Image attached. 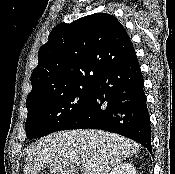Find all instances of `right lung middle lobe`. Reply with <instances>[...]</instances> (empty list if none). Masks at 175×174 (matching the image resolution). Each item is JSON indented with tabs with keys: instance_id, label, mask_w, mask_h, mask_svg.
I'll return each mask as SVG.
<instances>
[{
	"instance_id": "right-lung-middle-lobe-1",
	"label": "right lung middle lobe",
	"mask_w": 175,
	"mask_h": 174,
	"mask_svg": "<svg viewBox=\"0 0 175 174\" xmlns=\"http://www.w3.org/2000/svg\"><path fill=\"white\" fill-rule=\"evenodd\" d=\"M93 85L60 92L27 106L25 131L28 139L63 130L87 107Z\"/></svg>"
}]
</instances>
